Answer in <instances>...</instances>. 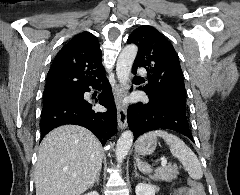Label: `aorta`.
Masks as SVG:
<instances>
[{"label": "aorta", "instance_id": "aorta-1", "mask_svg": "<svg viewBox=\"0 0 240 195\" xmlns=\"http://www.w3.org/2000/svg\"><path fill=\"white\" fill-rule=\"evenodd\" d=\"M137 52V46H135V44H129V46H125V48H123L117 60L116 74L121 86H125L130 78L131 68L137 56ZM132 141L133 133L130 129L121 133L115 149L118 163H122L125 155H127L132 145Z\"/></svg>", "mask_w": 240, "mask_h": 195}]
</instances>
